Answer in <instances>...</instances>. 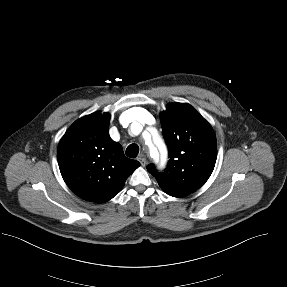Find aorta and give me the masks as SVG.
Masks as SVG:
<instances>
[{"mask_svg":"<svg viewBox=\"0 0 287 287\" xmlns=\"http://www.w3.org/2000/svg\"><path fill=\"white\" fill-rule=\"evenodd\" d=\"M151 151L157 152V150H156L155 148H151ZM157 158H158V157H157ZM157 158H156V159H157Z\"/></svg>","mask_w":287,"mask_h":287,"instance_id":"aorta-1","label":"aorta"}]
</instances>
